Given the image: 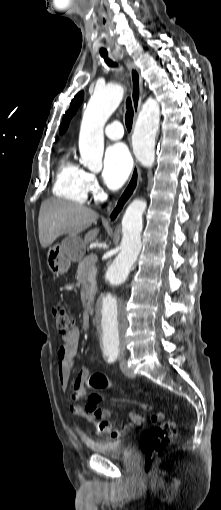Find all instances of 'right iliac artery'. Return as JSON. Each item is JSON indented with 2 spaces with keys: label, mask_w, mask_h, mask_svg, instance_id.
<instances>
[{
  "label": "right iliac artery",
  "mask_w": 221,
  "mask_h": 510,
  "mask_svg": "<svg viewBox=\"0 0 221 510\" xmlns=\"http://www.w3.org/2000/svg\"><path fill=\"white\" fill-rule=\"evenodd\" d=\"M117 355H118V352H117V351H108V352L106 353V356H107V358H108V359H107V360H108V362H109V363L114 362V361L116 360V358H117Z\"/></svg>",
  "instance_id": "obj_1"
}]
</instances>
